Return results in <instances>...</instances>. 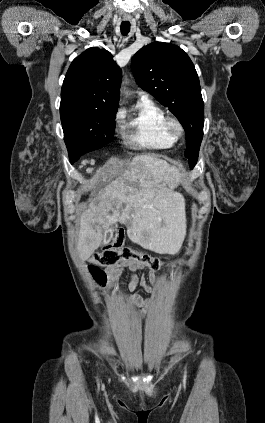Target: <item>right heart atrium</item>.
Wrapping results in <instances>:
<instances>
[{
    "label": "right heart atrium",
    "mask_w": 265,
    "mask_h": 423,
    "mask_svg": "<svg viewBox=\"0 0 265 423\" xmlns=\"http://www.w3.org/2000/svg\"><path fill=\"white\" fill-rule=\"evenodd\" d=\"M124 117V111L122 109H118L114 115V119L116 122L122 120V118Z\"/></svg>",
    "instance_id": "d8ad5b80"
}]
</instances>
